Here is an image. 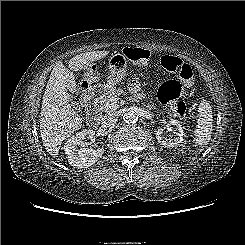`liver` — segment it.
<instances>
[{"instance_id":"liver-1","label":"liver","mask_w":245,"mask_h":245,"mask_svg":"<svg viewBox=\"0 0 245 245\" xmlns=\"http://www.w3.org/2000/svg\"><path fill=\"white\" fill-rule=\"evenodd\" d=\"M108 53L103 50L76 55L69 60L70 70L60 61L55 64L45 88L40 117L41 139L52 157H57L61 143L83 126L82 118L70 104L68 92L78 94L73 72L88 67Z\"/></svg>"}]
</instances>
